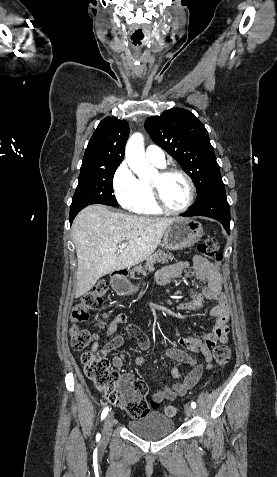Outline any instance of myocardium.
<instances>
[{"instance_id":"f54148a6","label":"myocardium","mask_w":277,"mask_h":477,"mask_svg":"<svg viewBox=\"0 0 277 477\" xmlns=\"http://www.w3.org/2000/svg\"><path fill=\"white\" fill-rule=\"evenodd\" d=\"M172 174H178L182 176L186 180L188 189H189L188 199L186 203L181 208H178V209H172L167 206V204L163 200L161 190H160V181L164 179L165 177ZM156 175H157V178L150 182V188H151L153 200L156 206L162 212L171 214V215H177V214L186 212L192 206L195 199V194H196L195 184L191 176L186 171L179 168L161 169L157 172Z\"/></svg>"}]
</instances>
